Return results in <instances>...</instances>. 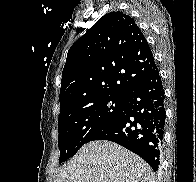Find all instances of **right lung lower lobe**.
<instances>
[{
  "label": "right lung lower lobe",
  "instance_id": "1",
  "mask_svg": "<svg viewBox=\"0 0 196 182\" xmlns=\"http://www.w3.org/2000/svg\"><path fill=\"white\" fill-rule=\"evenodd\" d=\"M164 90L159 70H152L129 92L122 112L93 140H109L142 157L156 172L165 126Z\"/></svg>",
  "mask_w": 196,
  "mask_h": 182
}]
</instances>
